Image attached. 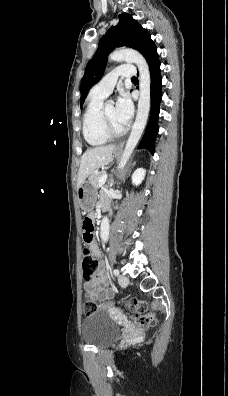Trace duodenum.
Instances as JSON below:
<instances>
[{"label": "duodenum", "instance_id": "obj_1", "mask_svg": "<svg viewBox=\"0 0 228 396\" xmlns=\"http://www.w3.org/2000/svg\"><path fill=\"white\" fill-rule=\"evenodd\" d=\"M107 207H108V204H105V203H104V204L101 205V208H102V209H106Z\"/></svg>", "mask_w": 228, "mask_h": 396}]
</instances>
